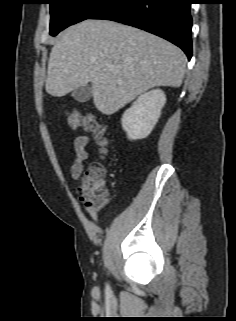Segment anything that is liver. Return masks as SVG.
<instances>
[{
  "mask_svg": "<svg viewBox=\"0 0 236 321\" xmlns=\"http://www.w3.org/2000/svg\"><path fill=\"white\" fill-rule=\"evenodd\" d=\"M185 71V54L169 41L114 21L88 19L59 35L45 89L62 97L90 82L94 105L110 115L150 88L179 87Z\"/></svg>",
  "mask_w": 236,
  "mask_h": 321,
  "instance_id": "6515ba94",
  "label": "liver"
}]
</instances>
